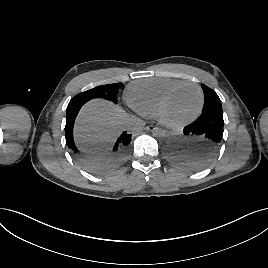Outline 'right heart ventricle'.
I'll return each instance as SVG.
<instances>
[{"mask_svg": "<svg viewBox=\"0 0 268 268\" xmlns=\"http://www.w3.org/2000/svg\"><path fill=\"white\" fill-rule=\"evenodd\" d=\"M184 82L173 78L142 79L130 84L126 91L129 106L145 117L156 116L158 105L166 92Z\"/></svg>", "mask_w": 268, "mask_h": 268, "instance_id": "e07e8e85", "label": "right heart ventricle"}]
</instances>
